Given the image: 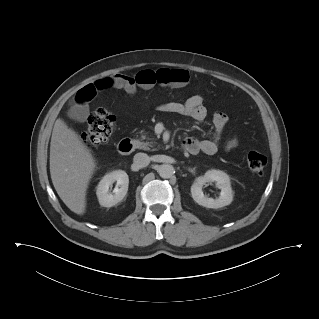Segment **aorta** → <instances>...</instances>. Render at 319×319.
Masks as SVG:
<instances>
[{
  "instance_id": "aorta-1",
  "label": "aorta",
  "mask_w": 319,
  "mask_h": 319,
  "mask_svg": "<svg viewBox=\"0 0 319 319\" xmlns=\"http://www.w3.org/2000/svg\"><path fill=\"white\" fill-rule=\"evenodd\" d=\"M158 174L162 178H170L174 174V167L170 164H162L158 168Z\"/></svg>"
}]
</instances>
